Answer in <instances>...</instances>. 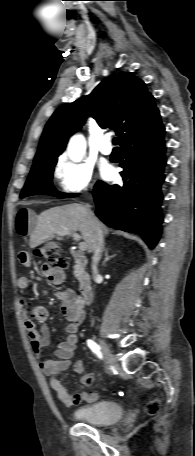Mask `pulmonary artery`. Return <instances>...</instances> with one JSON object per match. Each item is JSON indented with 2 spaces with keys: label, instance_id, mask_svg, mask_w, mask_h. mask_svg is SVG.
<instances>
[{
  "label": "pulmonary artery",
  "instance_id": "pulmonary-artery-1",
  "mask_svg": "<svg viewBox=\"0 0 195 456\" xmlns=\"http://www.w3.org/2000/svg\"><path fill=\"white\" fill-rule=\"evenodd\" d=\"M99 150L103 155H110L112 153V146L110 143V136L105 135L101 141L99 146Z\"/></svg>",
  "mask_w": 195,
  "mask_h": 456
}]
</instances>
